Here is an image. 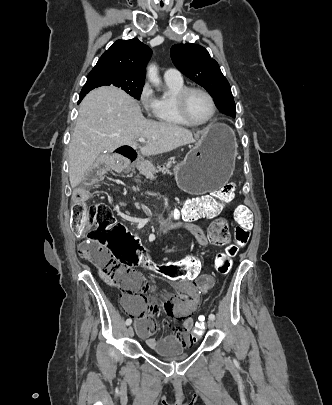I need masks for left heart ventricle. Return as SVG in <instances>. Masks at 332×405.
I'll return each instance as SVG.
<instances>
[{
    "mask_svg": "<svg viewBox=\"0 0 332 405\" xmlns=\"http://www.w3.org/2000/svg\"><path fill=\"white\" fill-rule=\"evenodd\" d=\"M187 112L192 120L203 121L211 115V102L203 93L192 92L187 99Z\"/></svg>",
    "mask_w": 332,
    "mask_h": 405,
    "instance_id": "b2bd125f",
    "label": "left heart ventricle"
}]
</instances>
